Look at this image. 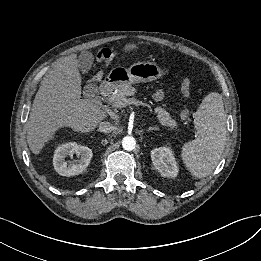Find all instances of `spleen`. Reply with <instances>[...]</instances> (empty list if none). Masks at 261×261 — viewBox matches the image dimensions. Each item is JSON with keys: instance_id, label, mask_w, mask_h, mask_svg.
<instances>
[{"instance_id": "3e777b00", "label": "spleen", "mask_w": 261, "mask_h": 261, "mask_svg": "<svg viewBox=\"0 0 261 261\" xmlns=\"http://www.w3.org/2000/svg\"><path fill=\"white\" fill-rule=\"evenodd\" d=\"M194 125L198 137L183 145L181 156L194 177L204 178L214 170L225 148L226 119L220 94L212 92L203 99Z\"/></svg>"}]
</instances>
